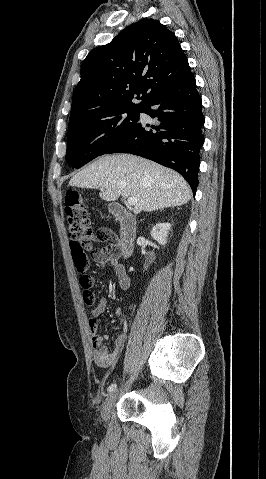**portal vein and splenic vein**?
I'll return each instance as SVG.
<instances>
[{
	"mask_svg": "<svg viewBox=\"0 0 266 479\" xmlns=\"http://www.w3.org/2000/svg\"><path fill=\"white\" fill-rule=\"evenodd\" d=\"M127 204H128L129 206H135V205L137 204V198H135V197H129V198L127 199Z\"/></svg>",
	"mask_w": 266,
	"mask_h": 479,
	"instance_id": "obj_1",
	"label": "portal vein and splenic vein"
}]
</instances>
